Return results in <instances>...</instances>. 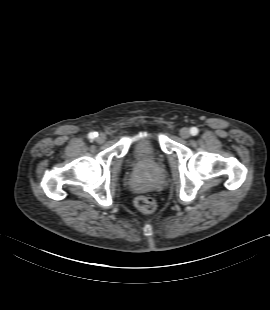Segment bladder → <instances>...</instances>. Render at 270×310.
<instances>
[{
    "mask_svg": "<svg viewBox=\"0 0 270 310\" xmlns=\"http://www.w3.org/2000/svg\"><path fill=\"white\" fill-rule=\"evenodd\" d=\"M131 156L135 160H143L148 157L156 156L158 148L154 138L150 134L139 135L132 142Z\"/></svg>",
    "mask_w": 270,
    "mask_h": 310,
    "instance_id": "bladder-1",
    "label": "bladder"
}]
</instances>
